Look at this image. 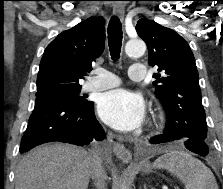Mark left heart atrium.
I'll return each mask as SVG.
<instances>
[{
    "mask_svg": "<svg viewBox=\"0 0 223 189\" xmlns=\"http://www.w3.org/2000/svg\"><path fill=\"white\" fill-rule=\"evenodd\" d=\"M97 110L100 118L111 127L131 131L143 122L145 103L137 93L116 89L100 96Z\"/></svg>",
    "mask_w": 223,
    "mask_h": 189,
    "instance_id": "obj_1",
    "label": "left heart atrium"
}]
</instances>
